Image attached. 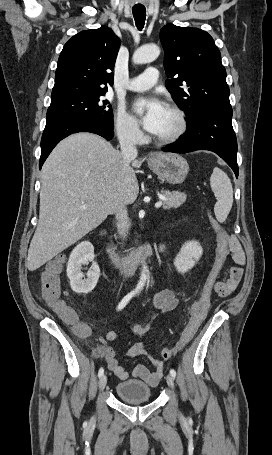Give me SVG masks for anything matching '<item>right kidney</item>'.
Masks as SVG:
<instances>
[{"mask_svg": "<svg viewBox=\"0 0 272 455\" xmlns=\"http://www.w3.org/2000/svg\"><path fill=\"white\" fill-rule=\"evenodd\" d=\"M94 258V247L88 241L81 242L71 252L67 264V276L74 292L87 294L95 288L100 276V269L94 262ZM88 262H93V264L87 273V278L83 279L82 265Z\"/></svg>", "mask_w": 272, "mask_h": 455, "instance_id": "obj_1", "label": "right kidney"}]
</instances>
